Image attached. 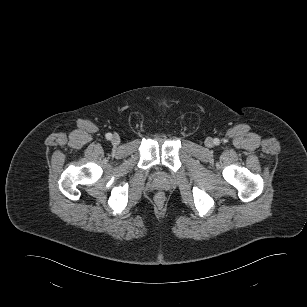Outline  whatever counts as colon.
Segmentation results:
<instances>
[{"label": "colon", "instance_id": "obj_1", "mask_svg": "<svg viewBox=\"0 0 307 307\" xmlns=\"http://www.w3.org/2000/svg\"><path fill=\"white\" fill-rule=\"evenodd\" d=\"M157 198H158V200H163L164 199V195L163 194H158Z\"/></svg>", "mask_w": 307, "mask_h": 307}]
</instances>
